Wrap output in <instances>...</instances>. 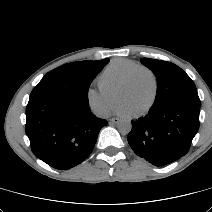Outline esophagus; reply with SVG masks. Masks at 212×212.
Listing matches in <instances>:
<instances>
[{
    "label": "esophagus",
    "mask_w": 212,
    "mask_h": 212,
    "mask_svg": "<svg viewBox=\"0 0 212 212\" xmlns=\"http://www.w3.org/2000/svg\"><path fill=\"white\" fill-rule=\"evenodd\" d=\"M120 122V119L119 118H112L110 119V124H118Z\"/></svg>",
    "instance_id": "1"
}]
</instances>
